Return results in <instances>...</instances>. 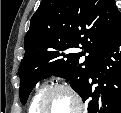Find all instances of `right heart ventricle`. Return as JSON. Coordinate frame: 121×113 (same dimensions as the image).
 Returning <instances> with one entry per match:
<instances>
[{"mask_svg": "<svg viewBox=\"0 0 121 113\" xmlns=\"http://www.w3.org/2000/svg\"><path fill=\"white\" fill-rule=\"evenodd\" d=\"M46 88H41L33 97L31 105H30V109L34 110L36 108L37 102L42 94V92L45 90Z\"/></svg>", "mask_w": 121, "mask_h": 113, "instance_id": "e07e8e85", "label": "right heart ventricle"}]
</instances>
